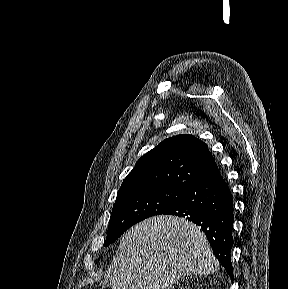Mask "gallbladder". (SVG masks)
Instances as JSON below:
<instances>
[{"instance_id":"obj_1","label":"gallbladder","mask_w":288,"mask_h":289,"mask_svg":"<svg viewBox=\"0 0 288 289\" xmlns=\"http://www.w3.org/2000/svg\"><path fill=\"white\" fill-rule=\"evenodd\" d=\"M104 286H108L107 283H104Z\"/></svg>"}]
</instances>
